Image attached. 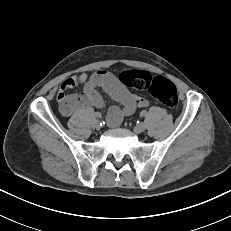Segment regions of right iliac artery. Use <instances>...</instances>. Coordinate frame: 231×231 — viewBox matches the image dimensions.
<instances>
[{
    "mask_svg": "<svg viewBox=\"0 0 231 231\" xmlns=\"http://www.w3.org/2000/svg\"><path fill=\"white\" fill-rule=\"evenodd\" d=\"M95 117L101 118V113H100V112H96V113H95Z\"/></svg>",
    "mask_w": 231,
    "mask_h": 231,
    "instance_id": "82829eb1",
    "label": "right iliac artery"
}]
</instances>
